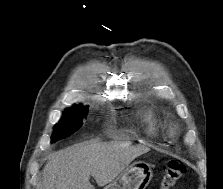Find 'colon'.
I'll use <instances>...</instances> for the list:
<instances>
[{"instance_id":"1","label":"colon","mask_w":223,"mask_h":189,"mask_svg":"<svg viewBox=\"0 0 223 189\" xmlns=\"http://www.w3.org/2000/svg\"><path fill=\"white\" fill-rule=\"evenodd\" d=\"M185 172L186 168L180 161L175 159L169 160L159 189H172Z\"/></svg>"}]
</instances>
